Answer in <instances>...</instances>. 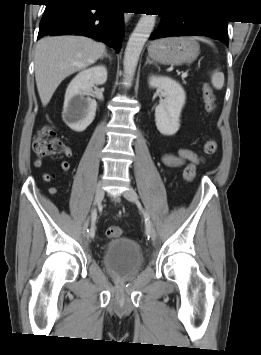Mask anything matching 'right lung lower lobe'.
I'll return each instance as SVG.
<instances>
[{"label": "right lung lower lobe", "mask_w": 261, "mask_h": 355, "mask_svg": "<svg viewBox=\"0 0 261 355\" xmlns=\"http://www.w3.org/2000/svg\"><path fill=\"white\" fill-rule=\"evenodd\" d=\"M38 39L45 35L80 34L97 38L117 52L124 35L123 12L92 10L101 4L86 0H45Z\"/></svg>", "instance_id": "right-lung-lower-lobe-1"}]
</instances>
